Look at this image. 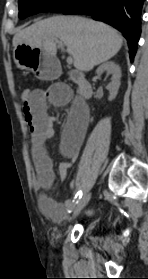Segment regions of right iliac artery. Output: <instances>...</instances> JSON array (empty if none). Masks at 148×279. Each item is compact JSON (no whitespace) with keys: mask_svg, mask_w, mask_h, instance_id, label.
<instances>
[{"mask_svg":"<svg viewBox=\"0 0 148 279\" xmlns=\"http://www.w3.org/2000/svg\"><path fill=\"white\" fill-rule=\"evenodd\" d=\"M81 197H82V191H81V190H78L77 193H76V195H75V197H74L72 206H71V208L68 210L69 213L73 210L74 206L78 203V201L81 199Z\"/></svg>","mask_w":148,"mask_h":279,"instance_id":"1","label":"right iliac artery"}]
</instances>
